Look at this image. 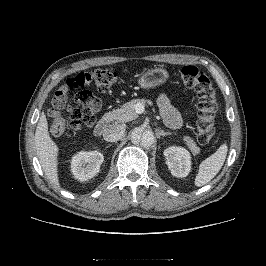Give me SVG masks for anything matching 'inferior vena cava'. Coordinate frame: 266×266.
I'll return each mask as SVG.
<instances>
[{
	"mask_svg": "<svg viewBox=\"0 0 266 266\" xmlns=\"http://www.w3.org/2000/svg\"><path fill=\"white\" fill-rule=\"evenodd\" d=\"M124 132H125V127L123 125L111 124L105 129L103 137L104 140L106 141L116 142L123 137Z\"/></svg>",
	"mask_w": 266,
	"mask_h": 266,
	"instance_id": "obj_1",
	"label": "inferior vena cava"
}]
</instances>
